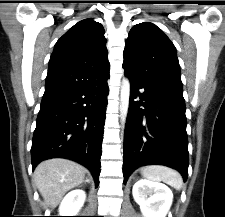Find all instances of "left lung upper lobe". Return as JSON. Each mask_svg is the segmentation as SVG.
<instances>
[{"instance_id":"1","label":"left lung upper lobe","mask_w":225,"mask_h":217,"mask_svg":"<svg viewBox=\"0 0 225 217\" xmlns=\"http://www.w3.org/2000/svg\"><path fill=\"white\" fill-rule=\"evenodd\" d=\"M125 74L144 84L182 91L176 48L153 23L135 25L123 53Z\"/></svg>"}]
</instances>
